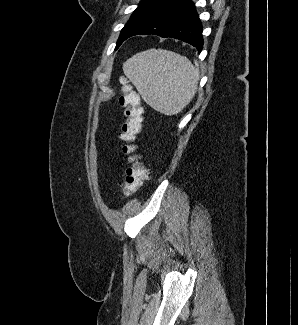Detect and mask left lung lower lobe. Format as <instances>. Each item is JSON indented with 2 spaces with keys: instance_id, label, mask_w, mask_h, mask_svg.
<instances>
[{
  "instance_id": "1",
  "label": "left lung lower lobe",
  "mask_w": 298,
  "mask_h": 325,
  "mask_svg": "<svg viewBox=\"0 0 298 325\" xmlns=\"http://www.w3.org/2000/svg\"><path fill=\"white\" fill-rule=\"evenodd\" d=\"M148 34L183 40L199 53L203 48L202 25L192 0H161L131 29L127 38Z\"/></svg>"
}]
</instances>
